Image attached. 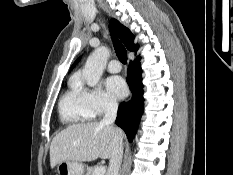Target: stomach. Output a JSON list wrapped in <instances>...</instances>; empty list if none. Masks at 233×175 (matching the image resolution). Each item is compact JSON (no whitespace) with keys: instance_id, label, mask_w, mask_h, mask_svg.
I'll use <instances>...</instances> for the list:
<instances>
[{"instance_id":"obj_1","label":"stomach","mask_w":233,"mask_h":175,"mask_svg":"<svg viewBox=\"0 0 233 175\" xmlns=\"http://www.w3.org/2000/svg\"><path fill=\"white\" fill-rule=\"evenodd\" d=\"M58 175H83L84 165L77 161L60 162L57 166Z\"/></svg>"}]
</instances>
